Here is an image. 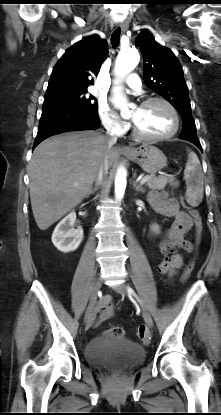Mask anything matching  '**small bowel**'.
Here are the masks:
<instances>
[{
  "label": "small bowel",
  "instance_id": "obj_1",
  "mask_svg": "<svg viewBox=\"0 0 221 415\" xmlns=\"http://www.w3.org/2000/svg\"><path fill=\"white\" fill-rule=\"evenodd\" d=\"M148 201L155 211L175 219L160 242L159 249L164 255V259L158 264L160 273L173 276L184 265V258L180 252H191L193 250V244L186 239V234L193 221L188 213L180 209L177 199L170 197L166 192L151 193ZM98 310L100 312L98 323L114 315L113 303L109 296L101 300Z\"/></svg>",
  "mask_w": 221,
  "mask_h": 415
}]
</instances>
